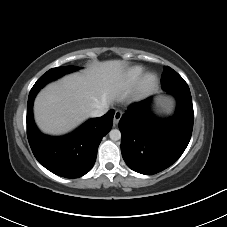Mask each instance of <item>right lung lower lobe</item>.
Returning a JSON list of instances; mask_svg holds the SVG:
<instances>
[{"instance_id": "right-lung-lower-lobe-1", "label": "right lung lower lobe", "mask_w": 227, "mask_h": 227, "mask_svg": "<svg viewBox=\"0 0 227 227\" xmlns=\"http://www.w3.org/2000/svg\"><path fill=\"white\" fill-rule=\"evenodd\" d=\"M37 93H29L27 104V137L35 158L56 175L66 178L85 175L95 163L102 138L112 127L114 110L90 119L73 133L51 137L42 134L33 120V102Z\"/></svg>"}]
</instances>
